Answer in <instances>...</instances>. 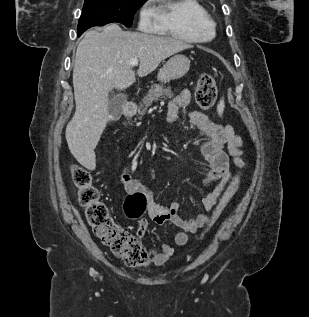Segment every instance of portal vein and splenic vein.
Returning <instances> with one entry per match:
<instances>
[{
    "label": "portal vein and splenic vein",
    "instance_id": "portal-vein-and-splenic-vein-1",
    "mask_svg": "<svg viewBox=\"0 0 309 317\" xmlns=\"http://www.w3.org/2000/svg\"><path fill=\"white\" fill-rule=\"evenodd\" d=\"M138 59H131V61H130V65L131 66H136V65H138Z\"/></svg>",
    "mask_w": 309,
    "mask_h": 317
}]
</instances>
